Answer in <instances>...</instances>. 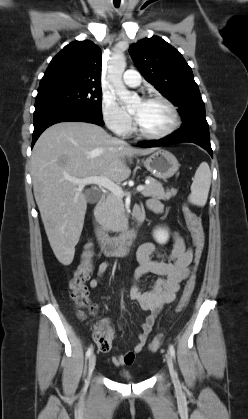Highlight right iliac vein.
<instances>
[{"label":"right iliac vein","instance_id":"1","mask_svg":"<svg viewBox=\"0 0 248 419\" xmlns=\"http://www.w3.org/2000/svg\"><path fill=\"white\" fill-rule=\"evenodd\" d=\"M96 365L95 355H91L88 362V376L90 377Z\"/></svg>","mask_w":248,"mask_h":419}]
</instances>
